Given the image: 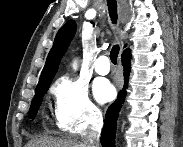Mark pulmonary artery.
Segmentation results:
<instances>
[{
    "mask_svg": "<svg viewBox=\"0 0 183 147\" xmlns=\"http://www.w3.org/2000/svg\"><path fill=\"white\" fill-rule=\"evenodd\" d=\"M94 69L100 75H107L110 71L109 58L105 55L99 56L94 64Z\"/></svg>",
    "mask_w": 183,
    "mask_h": 147,
    "instance_id": "pulmonary-artery-1",
    "label": "pulmonary artery"
}]
</instances>
